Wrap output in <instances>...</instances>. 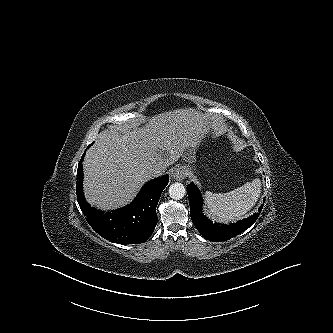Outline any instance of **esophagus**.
<instances>
[{
  "label": "esophagus",
  "mask_w": 333,
  "mask_h": 333,
  "mask_svg": "<svg viewBox=\"0 0 333 333\" xmlns=\"http://www.w3.org/2000/svg\"><path fill=\"white\" fill-rule=\"evenodd\" d=\"M187 171L184 167H178L173 172V177L177 181H182L186 178Z\"/></svg>",
  "instance_id": "obj_1"
}]
</instances>
